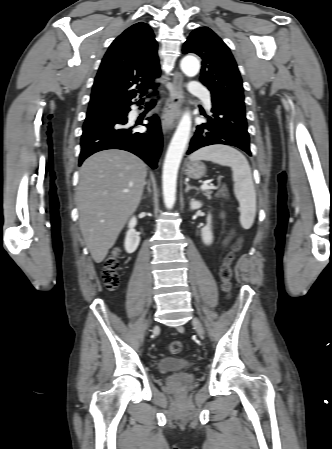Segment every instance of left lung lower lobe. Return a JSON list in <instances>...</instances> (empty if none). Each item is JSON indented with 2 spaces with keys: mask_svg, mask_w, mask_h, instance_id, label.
Here are the masks:
<instances>
[{
  "mask_svg": "<svg viewBox=\"0 0 332 449\" xmlns=\"http://www.w3.org/2000/svg\"><path fill=\"white\" fill-rule=\"evenodd\" d=\"M212 116L196 127L187 154L199 148L224 144L235 146L251 156L245 111L212 105Z\"/></svg>",
  "mask_w": 332,
  "mask_h": 449,
  "instance_id": "1",
  "label": "left lung lower lobe"
}]
</instances>
